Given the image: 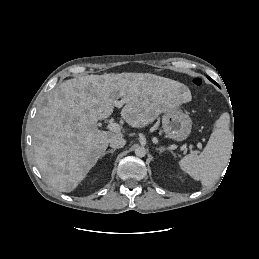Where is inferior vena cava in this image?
<instances>
[{"label": "inferior vena cava", "instance_id": "1", "mask_svg": "<svg viewBox=\"0 0 259 259\" xmlns=\"http://www.w3.org/2000/svg\"><path fill=\"white\" fill-rule=\"evenodd\" d=\"M109 143L110 147L116 149L123 147L126 144V140L122 137H114L110 139Z\"/></svg>", "mask_w": 259, "mask_h": 259}]
</instances>
